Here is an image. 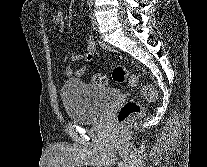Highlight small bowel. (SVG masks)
Wrapping results in <instances>:
<instances>
[{"label":"small bowel","instance_id":"small-bowel-1","mask_svg":"<svg viewBox=\"0 0 207 167\" xmlns=\"http://www.w3.org/2000/svg\"><path fill=\"white\" fill-rule=\"evenodd\" d=\"M54 1V0H53ZM53 24L60 30L63 31L65 28V19L64 15L61 11H57L52 17ZM86 49L85 52L82 54H73L69 55L67 52L62 53V60L66 64L65 74L66 76H82L85 71L86 67L84 65L73 67L71 63L81 61L84 63L91 62L96 53V44L91 37L86 39Z\"/></svg>","mask_w":207,"mask_h":167}]
</instances>
